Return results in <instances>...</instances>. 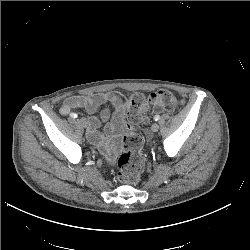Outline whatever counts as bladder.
<instances>
[{
    "label": "bladder",
    "instance_id": "bladder-1",
    "mask_svg": "<svg viewBox=\"0 0 250 250\" xmlns=\"http://www.w3.org/2000/svg\"><path fill=\"white\" fill-rule=\"evenodd\" d=\"M116 128H117L119 131L125 130V127H124V125H123L122 123H118L117 126H116Z\"/></svg>",
    "mask_w": 250,
    "mask_h": 250
}]
</instances>
